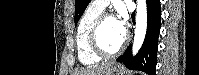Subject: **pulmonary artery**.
Listing matches in <instances>:
<instances>
[{
    "label": "pulmonary artery",
    "mask_w": 199,
    "mask_h": 75,
    "mask_svg": "<svg viewBox=\"0 0 199 75\" xmlns=\"http://www.w3.org/2000/svg\"><path fill=\"white\" fill-rule=\"evenodd\" d=\"M109 1L107 0H98V1H92V6H95L101 10H104L106 6L108 5Z\"/></svg>",
    "instance_id": "1"
}]
</instances>
